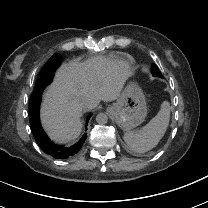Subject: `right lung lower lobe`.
<instances>
[{
  "mask_svg": "<svg viewBox=\"0 0 208 208\" xmlns=\"http://www.w3.org/2000/svg\"><path fill=\"white\" fill-rule=\"evenodd\" d=\"M61 64V57H51L47 63L42 68L39 74L38 80V87L33 90V93L30 98L29 102V120L32 129V133L34 139L38 143L39 147L42 151L53 158L56 159H67L69 157L74 156L83 146L84 141L87 138V134L85 133L82 138L76 144L65 147L61 145H57L53 143L49 137L44 132L43 128L41 127L40 118H39V111H40V103H41V94L45 87L51 83L55 70ZM92 114L87 117L86 124L90 119Z\"/></svg>",
  "mask_w": 208,
  "mask_h": 208,
  "instance_id": "right-lung-lower-lobe-1",
  "label": "right lung lower lobe"
}]
</instances>
